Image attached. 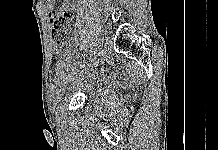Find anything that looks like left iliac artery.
I'll return each instance as SVG.
<instances>
[{"mask_svg":"<svg viewBox=\"0 0 218 150\" xmlns=\"http://www.w3.org/2000/svg\"><path fill=\"white\" fill-rule=\"evenodd\" d=\"M100 42H101V37H97V35H96L95 44L99 45ZM97 50H98V47L94 46L93 49H92L93 54L88 57V58H92V63H87L86 66H85V64H80V66H77L76 69H72V71H70L68 74L70 76H73L76 73H80V71H86L90 67V65H92L96 61L94 58L97 56L96 55L97 54Z\"/></svg>","mask_w":218,"mask_h":150,"instance_id":"left-iliac-artery-1","label":"left iliac artery"}]
</instances>
